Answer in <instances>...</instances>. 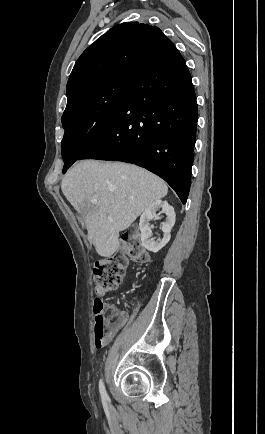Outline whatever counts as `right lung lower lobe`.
I'll return each instance as SVG.
<instances>
[{
    "label": "right lung lower lobe",
    "mask_w": 265,
    "mask_h": 434,
    "mask_svg": "<svg viewBox=\"0 0 265 434\" xmlns=\"http://www.w3.org/2000/svg\"><path fill=\"white\" fill-rule=\"evenodd\" d=\"M197 119L191 75L173 46L133 79L110 126L78 160L144 167L163 178L185 204Z\"/></svg>",
    "instance_id": "right-lung-lower-lobe-1"
}]
</instances>
